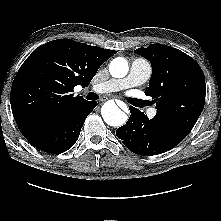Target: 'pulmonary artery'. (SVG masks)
<instances>
[{"mask_svg": "<svg viewBox=\"0 0 221 221\" xmlns=\"http://www.w3.org/2000/svg\"><path fill=\"white\" fill-rule=\"evenodd\" d=\"M152 72L151 65L142 58H136L131 66L129 73L124 78L111 79L100 85L94 86L93 90L99 93L120 91L123 89L135 87L145 83ZM156 110H151L150 117H154Z\"/></svg>", "mask_w": 221, "mask_h": 221, "instance_id": "e3ab8cb5", "label": "pulmonary artery"}]
</instances>
